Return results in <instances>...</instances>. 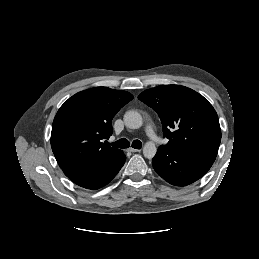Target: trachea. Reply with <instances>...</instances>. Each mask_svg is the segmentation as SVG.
Instances as JSON below:
<instances>
[{
    "mask_svg": "<svg viewBox=\"0 0 259 259\" xmlns=\"http://www.w3.org/2000/svg\"><path fill=\"white\" fill-rule=\"evenodd\" d=\"M111 145L114 146V147H117V148H128L129 145H130V142L127 139L122 138V139H119L116 142L111 143ZM132 147L135 148V149H141L142 142L139 141V140H134L132 142Z\"/></svg>",
    "mask_w": 259,
    "mask_h": 259,
    "instance_id": "3493384b",
    "label": "trachea"
}]
</instances>
